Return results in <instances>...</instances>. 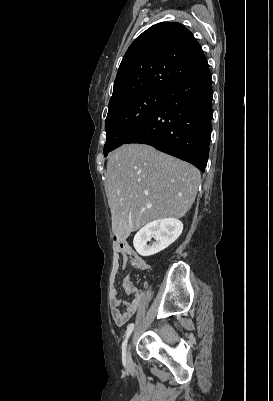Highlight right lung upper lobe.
Segmentation results:
<instances>
[{
	"label": "right lung upper lobe",
	"instance_id": "obj_1",
	"mask_svg": "<svg viewBox=\"0 0 273 401\" xmlns=\"http://www.w3.org/2000/svg\"><path fill=\"white\" fill-rule=\"evenodd\" d=\"M208 65L201 46L182 24L161 22L130 45L119 66L110 102L142 92H166Z\"/></svg>",
	"mask_w": 273,
	"mask_h": 401
}]
</instances>
